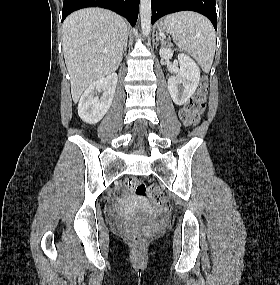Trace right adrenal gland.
Returning <instances> with one entry per match:
<instances>
[{"label": "right adrenal gland", "instance_id": "2a0ac1e0", "mask_svg": "<svg viewBox=\"0 0 280 285\" xmlns=\"http://www.w3.org/2000/svg\"><path fill=\"white\" fill-rule=\"evenodd\" d=\"M127 42H128V38L126 39V41H125V45H124V49H123V53H124V51H126L127 50Z\"/></svg>", "mask_w": 280, "mask_h": 285}]
</instances>
